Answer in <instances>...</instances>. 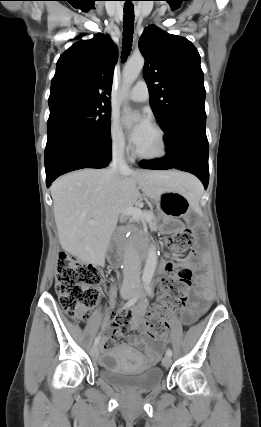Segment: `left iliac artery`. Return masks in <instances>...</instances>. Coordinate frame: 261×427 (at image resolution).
Returning a JSON list of instances; mask_svg holds the SVG:
<instances>
[{
  "label": "left iliac artery",
  "mask_w": 261,
  "mask_h": 427,
  "mask_svg": "<svg viewBox=\"0 0 261 427\" xmlns=\"http://www.w3.org/2000/svg\"><path fill=\"white\" fill-rule=\"evenodd\" d=\"M146 291H147V293H148L149 296H151V297L153 296V290H152L151 286L149 285V283H147ZM166 354L168 356H172V350L171 349H167Z\"/></svg>",
  "instance_id": "obj_1"
}]
</instances>
